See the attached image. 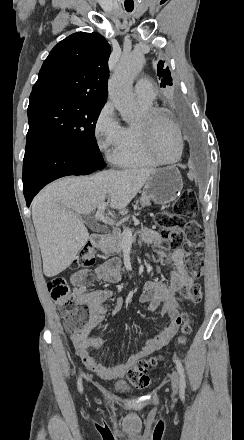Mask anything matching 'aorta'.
I'll list each match as a JSON object with an SVG mask.
<instances>
[{"label": "aorta", "mask_w": 244, "mask_h": 440, "mask_svg": "<svg viewBox=\"0 0 244 440\" xmlns=\"http://www.w3.org/2000/svg\"><path fill=\"white\" fill-rule=\"evenodd\" d=\"M143 64L144 56L141 53L133 52L123 56L108 83L110 100L126 122L133 121L136 114L137 106L132 86Z\"/></svg>", "instance_id": "aorta-1"}]
</instances>
